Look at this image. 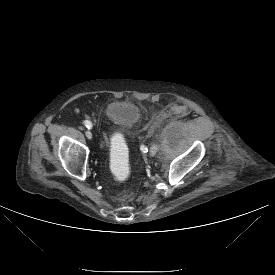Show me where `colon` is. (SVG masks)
Segmentation results:
<instances>
[{
	"label": "colon",
	"mask_w": 275,
	"mask_h": 275,
	"mask_svg": "<svg viewBox=\"0 0 275 275\" xmlns=\"http://www.w3.org/2000/svg\"><path fill=\"white\" fill-rule=\"evenodd\" d=\"M110 169L117 181H124L130 175V161L128 149L124 142L114 139L113 140V153L110 162Z\"/></svg>",
	"instance_id": "1"
}]
</instances>
